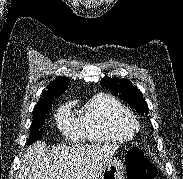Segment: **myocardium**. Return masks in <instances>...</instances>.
Wrapping results in <instances>:
<instances>
[{"instance_id":"myocardium-1","label":"myocardium","mask_w":183,"mask_h":179,"mask_svg":"<svg viewBox=\"0 0 183 179\" xmlns=\"http://www.w3.org/2000/svg\"><path fill=\"white\" fill-rule=\"evenodd\" d=\"M125 125L128 129H130L134 133L139 129V123L132 114L127 118Z\"/></svg>"}]
</instances>
